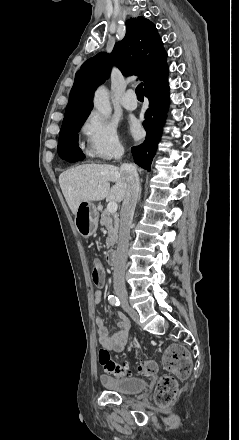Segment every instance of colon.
<instances>
[{
	"instance_id": "colon-1",
	"label": "colon",
	"mask_w": 239,
	"mask_h": 440,
	"mask_svg": "<svg viewBox=\"0 0 239 440\" xmlns=\"http://www.w3.org/2000/svg\"><path fill=\"white\" fill-rule=\"evenodd\" d=\"M92 281L95 285L101 286L105 282L104 269L99 260L93 261ZM99 362L102 367L111 375L116 377L128 376L130 368L125 364H119L112 360L109 351L101 349L99 351ZM163 365L169 375L160 379L156 387V398L160 406L169 405L174 399L177 379L186 377L191 369L190 357L181 346L169 347L163 357ZM138 374L152 375L157 372V364L153 360H143L135 368Z\"/></svg>"
}]
</instances>
